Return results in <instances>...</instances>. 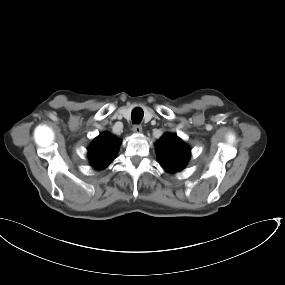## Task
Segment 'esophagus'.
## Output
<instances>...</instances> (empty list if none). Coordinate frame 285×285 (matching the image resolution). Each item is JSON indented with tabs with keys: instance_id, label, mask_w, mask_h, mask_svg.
<instances>
[{
	"instance_id": "1",
	"label": "esophagus",
	"mask_w": 285,
	"mask_h": 285,
	"mask_svg": "<svg viewBox=\"0 0 285 285\" xmlns=\"http://www.w3.org/2000/svg\"><path fill=\"white\" fill-rule=\"evenodd\" d=\"M133 133L140 134L142 132V126L140 124H135L132 128Z\"/></svg>"
}]
</instances>
